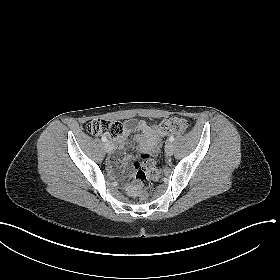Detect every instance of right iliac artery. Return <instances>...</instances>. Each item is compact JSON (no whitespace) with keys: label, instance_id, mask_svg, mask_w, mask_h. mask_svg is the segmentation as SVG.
I'll list each match as a JSON object with an SVG mask.
<instances>
[{"label":"right iliac artery","instance_id":"82829eb1","mask_svg":"<svg viewBox=\"0 0 280 280\" xmlns=\"http://www.w3.org/2000/svg\"><path fill=\"white\" fill-rule=\"evenodd\" d=\"M101 140H102L103 142H106V141H107V138H106V137H102Z\"/></svg>","mask_w":280,"mask_h":280}]
</instances>
